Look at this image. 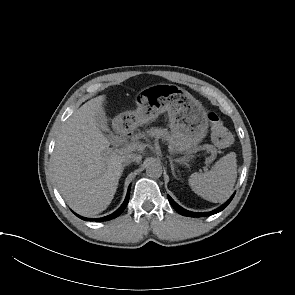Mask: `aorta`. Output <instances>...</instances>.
<instances>
[{
	"mask_svg": "<svg viewBox=\"0 0 295 295\" xmlns=\"http://www.w3.org/2000/svg\"><path fill=\"white\" fill-rule=\"evenodd\" d=\"M146 174L151 178H159L162 175L161 164L157 161H150L146 168Z\"/></svg>",
	"mask_w": 295,
	"mask_h": 295,
	"instance_id": "obj_1",
	"label": "aorta"
}]
</instances>
